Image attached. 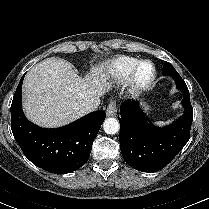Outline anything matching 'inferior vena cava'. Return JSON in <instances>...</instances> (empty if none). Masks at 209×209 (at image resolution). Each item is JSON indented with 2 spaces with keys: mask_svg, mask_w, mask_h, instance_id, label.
I'll use <instances>...</instances> for the list:
<instances>
[{
  "mask_svg": "<svg viewBox=\"0 0 209 209\" xmlns=\"http://www.w3.org/2000/svg\"><path fill=\"white\" fill-rule=\"evenodd\" d=\"M98 107V104H87L81 108L82 112L87 114L93 112Z\"/></svg>",
  "mask_w": 209,
  "mask_h": 209,
  "instance_id": "602c4592",
  "label": "inferior vena cava"
}]
</instances>
